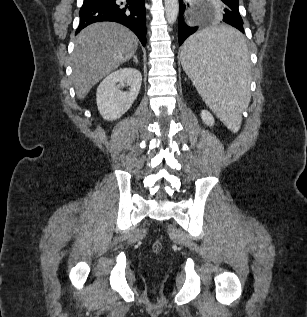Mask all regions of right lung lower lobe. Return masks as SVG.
<instances>
[{"mask_svg": "<svg viewBox=\"0 0 307 317\" xmlns=\"http://www.w3.org/2000/svg\"><path fill=\"white\" fill-rule=\"evenodd\" d=\"M80 24L76 34L94 22L114 21L131 29L142 45L146 44L144 0H84L79 12Z\"/></svg>", "mask_w": 307, "mask_h": 317, "instance_id": "1", "label": "right lung lower lobe"}]
</instances>
